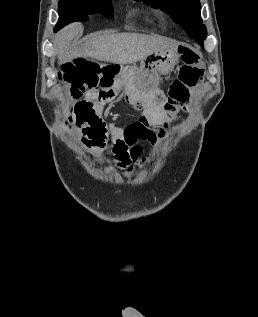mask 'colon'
I'll use <instances>...</instances> for the list:
<instances>
[{
  "label": "colon",
  "instance_id": "5ec220e1",
  "mask_svg": "<svg viewBox=\"0 0 258 317\" xmlns=\"http://www.w3.org/2000/svg\"><path fill=\"white\" fill-rule=\"evenodd\" d=\"M183 65L178 78L168 92L165 109L172 119L185 109L190 91L198 85L204 75V64L200 53L191 47H182ZM123 74L121 67L114 63H100L92 57L78 55L62 67L59 79L65 84L71 98L80 101L90 89L113 82ZM125 93L128 99L138 106L143 105L142 89L126 81ZM69 122L72 121L69 119Z\"/></svg>",
  "mask_w": 258,
  "mask_h": 317
}]
</instances>
